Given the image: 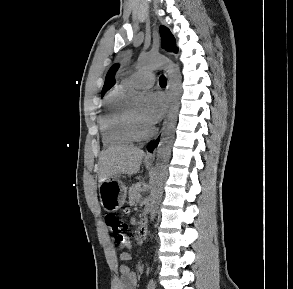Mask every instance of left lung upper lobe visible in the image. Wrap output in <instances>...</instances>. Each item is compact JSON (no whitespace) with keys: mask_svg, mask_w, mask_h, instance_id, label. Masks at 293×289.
I'll return each mask as SVG.
<instances>
[{"mask_svg":"<svg viewBox=\"0 0 293 289\" xmlns=\"http://www.w3.org/2000/svg\"><path fill=\"white\" fill-rule=\"evenodd\" d=\"M160 35L162 41V48L169 52H177L175 38L165 26L160 27Z\"/></svg>","mask_w":293,"mask_h":289,"instance_id":"obj_1","label":"left lung upper lobe"}]
</instances>
